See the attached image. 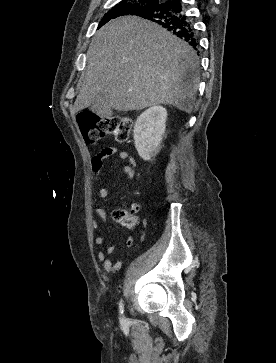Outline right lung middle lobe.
<instances>
[{"instance_id":"obj_1","label":"right lung middle lobe","mask_w":276,"mask_h":363,"mask_svg":"<svg viewBox=\"0 0 276 363\" xmlns=\"http://www.w3.org/2000/svg\"><path fill=\"white\" fill-rule=\"evenodd\" d=\"M157 1L159 0H122L104 15L98 28L110 19L129 14L135 15L149 7H153L154 4H158Z\"/></svg>"}]
</instances>
